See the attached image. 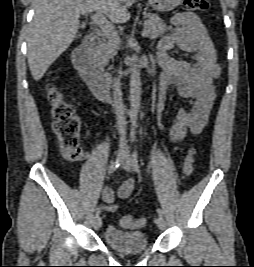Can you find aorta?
I'll return each mask as SVG.
<instances>
[{
  "label": "aorta",
  "mask_w": 254,
  "mask_h": 267,
  "mask_svg": "<svg viewBox=\"0 0 254 267\" xmlns=\"http://www.w3.org/2000/svg\"><path fill=\"white\" fill-rule=\"evenodd\" d=\"M130 105H131V123H132L131 135L134 137L135 128L137 127L138 112L141 105V78H140V70L137 67L131 68Z\"/></svg>",
  "instance_id": "aorta-1"
}]
</instances>
